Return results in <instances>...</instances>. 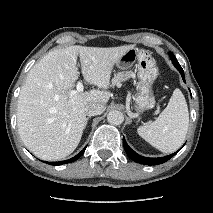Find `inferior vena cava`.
<instances>
[{"mask_svg": "<svg viewBox=\"0 0 213 213\" xmlns=\"http://www.w3.org/2000/svg\"><path fill=\"white\" fill-rule=\"evenodd\" d=\"M105 111V106L101 103H89L85 107V113L88 116L100 115Z\"/></svg>", "mask_w": 213, "mask_h": 213, "instance_id": "inferior-vena-cava-1", "label": "inferior vena cava"}]
</instances>
